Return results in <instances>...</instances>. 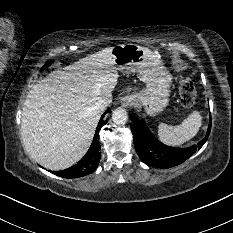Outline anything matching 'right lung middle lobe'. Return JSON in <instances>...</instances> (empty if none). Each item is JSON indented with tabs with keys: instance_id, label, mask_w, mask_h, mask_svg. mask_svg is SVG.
Returning <instances> with one entry per match:
<instances>
[{
	"instance_id": "1",
	"label": "right lung middle lobe",
	"mask_w": 233,
	"mask_h": 233,
	"mask_svg": "<svg viewBox=\"0 0 233 233\" xmlns=\"http://www.w3.org/2000/svg\"><path fill=\"white\" fill-rule=\"evenodd\" d=\"M49 64H50V62H48L47 64H45V65L43 66V68L47 67Z\"/></svg>"
}]
</instances>
